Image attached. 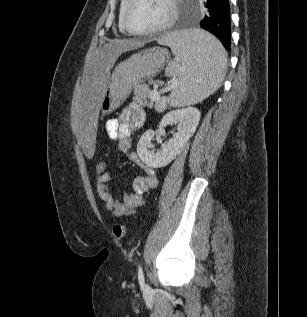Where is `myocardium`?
<instances>
[{"instance_id": "obj_1", "label": "myocardium", "mask_w": 307, "mask_h": 317, "mask_svg": "<svg viewBox=\"0 0 307 317\" xmlns=\"http://www.w3.org/2000/svg\"><path fill=\"white\" fill-rule=\"evenodd\" d=\"M134 2V0H127V3L123 9V13H122V23L124 26V29L126 30V32H128L131 35H136V36H152V35H156L166 29H168L170 26H172L178 16V9H177V4H176V0H168L169 6H170V14L168 16V18L161 23L160 25L149 29V30H143V31H137V30H133L129 23H128V11L132 5V3Z\"/></svg>"}]
</instances>
